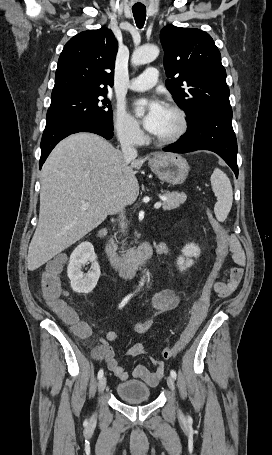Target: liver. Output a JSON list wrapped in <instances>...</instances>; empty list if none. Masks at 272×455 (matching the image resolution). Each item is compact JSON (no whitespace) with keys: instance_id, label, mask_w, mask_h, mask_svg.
Wrapping results in <instances>:
<instances>
[{"instance_id":"1","label":"liver","mask_w":272,"mask_h":455,"mask_svg":"<svg viewBox=\"0 0 272 455\" xmlns=\"http://www.w3.org/2000/svg\"><path fill=\"white\" fill-rule=\"evenodd\" d=\"M146 159L126 163L121 151L92 133L61 141L42 167L39 222L28 250V269H38L108 215L133 204L139 194L133 169H140ZM84 202L90 206L82 210Z\"/></svg>"}]
</instances>
